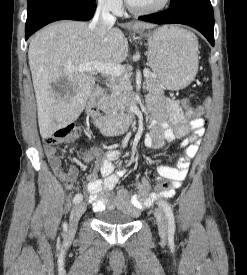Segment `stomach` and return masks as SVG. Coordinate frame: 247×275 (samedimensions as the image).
I'll use <instances>...</instances> for the list:
<instances>
[{
  "mask_svg": "<svg viewBox=\"0 0 247 275\" xmlns=\"http://www.w3.org/2000/svg\"><path fill=\"white\" fill-rule=\"evenodd\" d=\"M191 33L177 26H163L144 34L148 41V63L168 90L185 88L198 70V47Z\"/></svg>",
  "mask_w": 247,
  "mask_h": 275,
  "instance_id": "1",
  "label": "stomach"
}]
</instances>
